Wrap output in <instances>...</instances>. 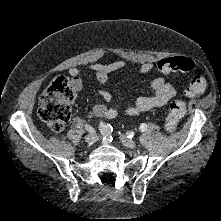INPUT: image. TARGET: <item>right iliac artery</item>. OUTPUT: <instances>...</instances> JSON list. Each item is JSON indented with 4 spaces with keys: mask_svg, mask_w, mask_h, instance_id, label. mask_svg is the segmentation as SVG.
I'll return each instance as SVG.
<instances>
[{
    "mask_svg": "<svg viewBox=\"0 0 221 221\" xmlns=\"http://www.w3.org/2000/svg\"><path fill=\"white\" fill-rule=\"evenodd\" d=\"M85 129L90 133L95 132L94 128L91 127L89 124H85ZM100 129H101L102 134L105 135V136L110 134L111 131H112L111 126L107 123L101 124Z\"/></svg>",
    "mask_w": 221,
    "mask_h": 221,
    "instance_id": "82829eb1",
    "label": "right iliac artery"
}]
</instances>
